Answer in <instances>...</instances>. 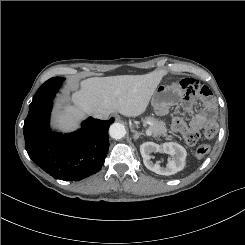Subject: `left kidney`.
<instances>
[{
  "instance_id": "5707ae66",
  "label": "left kidney",
  "mask_w": 245,
  "mask_h": 245,
  "mask_svg": "<svg viewBox=\"0 0 245 245\" xmlns=\"http://www.w3.org/2000/svg\"><path fill=\"white\" fill-rule=\"evenodd\" d=\"M152 152H164L172 158L168 161L166 167H161L159 163L151 161ZM140 153L143 157L145 167L159 175H173L185 166L186 150L184 147L175 142H166L158 145L154 142H145L140 146Z\"/></svg>"
}]
</instances>
